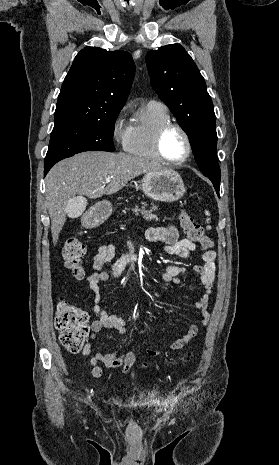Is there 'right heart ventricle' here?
I'll return each instance as SVG.
<instances>
[{"label": "right heart ventricle", "instance_id": "1", "mask_svg": "<svg viewBox=\"0 0 279 465\" xmlns=\"http://www.w3.org/2000/svg\"><path fill=\"white\" fill-rule=\"evenodd\" d=\"M169 122H172L171 115L164 104L149 102L144 105L130 126L125 151L143 160L160 162L154 148V139L158 129Z\"/></svg>", "mask_w": 279, "mask_h": 465}]
</instances>
